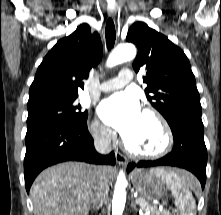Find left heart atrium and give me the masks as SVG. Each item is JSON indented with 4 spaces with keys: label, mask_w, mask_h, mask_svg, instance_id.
<instances>
[{
    "label": "left heart atrium",
    "mask_w": 221,
    "mask_h": 215,
    "mask_svg": "<svg viewBox=\"0 0 221 215\" xmlns=\"http://www.w3.org/2000/svg\"><path fill=\"white\" fill-rule=\"evenodd\" d=\"M98 112L123 138L135 130L142 116L137 97L130 93H117L102 101Z\"/></svg>",
    "instance_id": "left-heart-atrium-1"
}]
</instances>
